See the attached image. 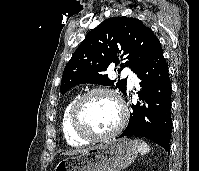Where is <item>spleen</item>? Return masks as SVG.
I'll use <instances>...</instances> for the list:
<instances>
[{
	"mask_svg": "<svg viewBox=\"0 0 199 171\" xmlns=\"http://www.w3.org/2000/svg\"><path fill=\"white\" fill-rule=\"evenodd\" d=\"M134 143L140 154L144 155L150 151V147L144 141L135 139Z\"/></svg>",
	"mask_w": 199,
	"mask_h": 171,
	"instance_id": "spleen-1",
	"label": "spleen"
}]
</instances>
